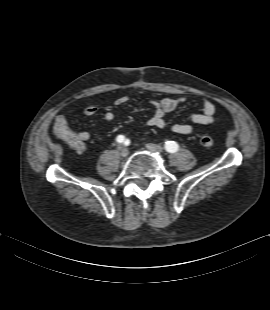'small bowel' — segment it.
Masks as SVG:
<instances>
[{
	"mask_svg": "<svg viewBox=\"0 0 270 310\" xmlns=\"http://www.w3.org/2000/svg\"><path fill=\"white\" fill-rule=\"evenodd\" d=\"M185 97L170 98L166 97L160 100H151L150 103L154 107V114L147 120V125L158 129H163L166 126L165 115L174 111L180 104L184 103ZM128 101V96L122 95L114 100H104L87 104L83 113L85 115H93L99 111L103 112V120L111 122L114 119L113 107L125 104ZM215 104L209 99H203L201 112L194 113L189 117V120L198 125H210L216 121ZM65 121L66 118L62 117ZM174 133L180 135H189L193 132L192 125L188 123H175L171 126ZM79 135L82 147L77 150H82L85 143L90 139V134L87 131L76 132Z\"/></svg>",
	"mask_w": 270,
	"mask_h": 310,
	"instance_id": "small-bowel-1",
	"label": "small bowel"
}]
</instances>
